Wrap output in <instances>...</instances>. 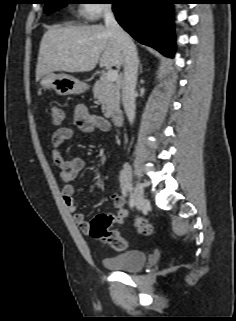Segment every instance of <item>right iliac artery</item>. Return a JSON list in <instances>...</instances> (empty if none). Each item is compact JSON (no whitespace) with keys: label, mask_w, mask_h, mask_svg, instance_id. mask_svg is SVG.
<instances>
[{"label":"right iliac artery","mask_w":236,"mask_h":321,"mask_svg":"<svg viewBox=\"0 0 236 321\" xmlns=\"http://www.w3.org/2000/svg\"><path fill=\"white\" fill-rule=\"evenodd\" d=\"M129 204H130V207H134L135 206V200H134L133 196H130Z\"/></svg>","instance_id":"right-iliac-artery-1"}]
</instances>
